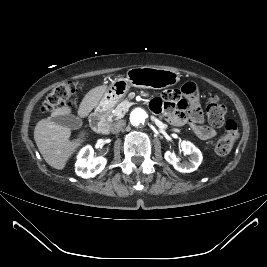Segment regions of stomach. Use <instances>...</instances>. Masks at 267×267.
<instances>
[{
  "mask_svg": "<svg viewBox=\"0 0 267 267\" xmlns=\"http://www.w3.org/2000/svg\"><path fill=\"white\" fill-rule=\"evenodd\" d=\"M180 73L162 68L133 67L126 76L115 78L95 106V112L102 113L113 108L123 99L131 87L164 89L176 85Z\"/></svg>",
  "mask_w": 267,
  "mask_h": 267,
  "instance_id": "stomach-1",
  "label": "stomach"
}]
</instances>
